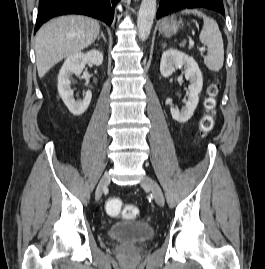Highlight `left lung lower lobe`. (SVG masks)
Instances as JSON below:
<instances>
[{"mask_svg":"<svg viewBox=\"0 0 265 269\" xmlns=\"http://www.w3.org/2000/svg\"><path fill=\"white\" fill-rule=\"evenodd\" d=\"M187 8H206L225 15L222 0H160L157 19Z\"/></svg>","mask_w":265,"mask_h":269,"instance_id":"left-lung-lower-lobe-1","label":"left lung lower lobe"}]
</instances>
